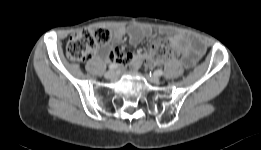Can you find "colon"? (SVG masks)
<instances>
[{
    "instance_id": "colon-1",
    "label": "colon",
    "mask_w": 261,
    "mask_h": 150,
    "mask_svg": "<svg viewBox=\"0 0 261 150\" xmlns=\"http://www.w3.org/2000/svg\"><path fill=\"white\" fill-rule=\"evenodd\" d=\"M110 37V32L104 28L84 29L70 37L66 55L71 61L89 60L97 48L106 44ZM178 57L180 52L164 39L155 41L147 55L150 63H161Z\"/></svg>"
}]
</instances>
